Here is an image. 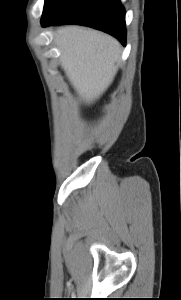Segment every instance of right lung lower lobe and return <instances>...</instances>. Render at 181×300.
<instances>
[{
    "label": "right lung lower lobe",
    "instance_id": "1",
    "mask_svg": "<svg viewBox=\"0 0 181 300\" xmlns=\"http://www.w3.org/2000/svg\"><path fill=\"white\" fill-rule=\"evenodd\" d=\"M42 27L79 24L104 31L125 46V11L119 0H63L42 16Z\"/></svg>",
    "mask_w": 181,
    "mask_h": 300
}]
</instances>
